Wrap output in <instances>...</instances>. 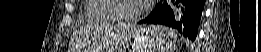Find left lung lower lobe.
I'll use <instances>...</instances> for the list:
<instances>
[{
  "mask_svg": "<svg viewBox=\"0 0 261 52\" xmlns=\"http://www.w3.org/2000/svg\"><path fill=\"white\" fill-rule=\"evenodd\" d=\"M205 0H162L139 24H162L194 41L204 10Z\"/></svg>",
  "mask_w": 261,
  "mask_h": 52,
  "instance_id": "obj_1",
  "label": "left lung lower lobe"
}]
</instances>
